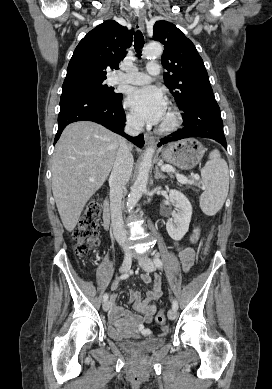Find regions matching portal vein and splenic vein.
Segmentation results:
<instances>
[{"label":"portal vein and splenic vein","mask_w":272,"mask_h":389,"mask_svg":"<svg viewBox=\"0 0 272 389\" xmlns=\"http://www.w3.org/2000/svg\"><path fill=\"white\" fill-rule=\"evenodd\" d=\"M161 170L162 171H165V172H175V169L170 166V165H163L161 166ZM177 180L178 182L182 183V184H186L188 182L192 183V181H189L185 176L183 175H180V174H177ZM195 180H199V176L198 175H194L193 177Z\"/></svg>","instance_id":"portal-vein-and-splenic-vein-1"}]
</instances>
